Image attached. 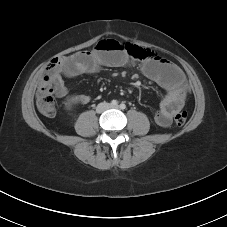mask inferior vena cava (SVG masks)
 Here are the masks:
<instances>
[{
    "label": "inferior vena cava",
    "instance_id": "obj_1",
    "mask_svg": "<svg viewBox=\"0 0 227 227\" xmlns=\"http://www.w3.org/2000/svg\"><path fill=\"white\" fill-rule=\"evenodd\" d=\"M108 108H109V104L106 103V102H104V103L98 104V106H97V108H96V111H97L98 113H101V112L105 111V110L108 109Z\"/></svg>",
    "mask_w": 227,
    "mask_h": 227
}]
</instances>
